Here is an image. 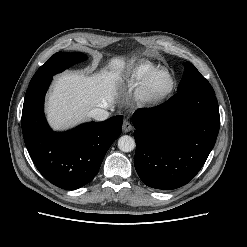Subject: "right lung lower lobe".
<instances>
[{
    "label": "right lung lower lobe",
    "mask_w": 247,
    "mask_h": 247,
    "mask_svg": "<svg viewBox=\"0 0 247 247\" xmlns=\"http://www.w3.org/2000/svg\"><path fill=\"white\" fill-rule=\"evenodd\" d=\"M52 78L29 84L22 111V132L38 171L55 186L73 190L96 176L106 152L121 134L123 116L55 133L44 116V97Z\"/></svg>",
    "instance_id": "1"
}]
</instances>
